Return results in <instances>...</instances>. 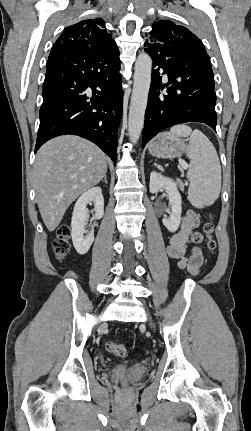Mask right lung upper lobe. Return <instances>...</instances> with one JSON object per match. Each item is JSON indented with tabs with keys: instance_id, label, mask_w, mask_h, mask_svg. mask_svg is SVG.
<instances>
[{
	"instance_id": "cb5924a9",
	"label": "right lung upper lobe",
	"mask_w": 251,
	"mask_h": 431,
	"mask_svg": "<svg viewBox=\"0 0 251 431\" xmlns=\"http://www.w3.org/2000/svg\"><path fill=\"white\" fill-rule=\"evenodd\" d=\"M67 54L94 56L105 62L119 60V50L111 34L107 32L102 19H88L67 27L57 39L51 51Z\"/></svg>"
}]
</instances>
